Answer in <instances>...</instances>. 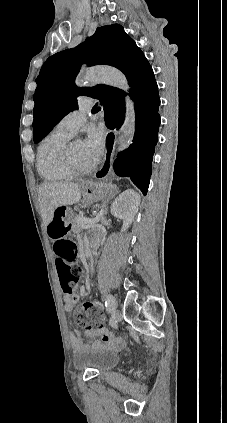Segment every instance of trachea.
<instances>
[{"mask_svg": "<svg viewBox=\"0 0 227 423\" xmlns=\"http://www.w3.org/2000/svg\"><path fill=\"white\" fill-rule=\"evenodd\" d=\"M92 110L98 111V110H101V108L99 106H97V104H96V106Z\"/></svg>", "mask_w": 227, "mask_h": 423, "instance_id": "obj_1", "label": "trachea"}]
</instances>
